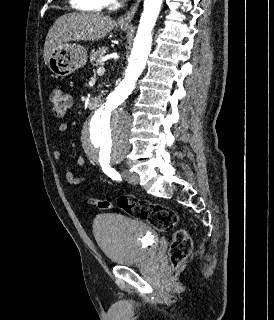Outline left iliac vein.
I'll use <instances>...</instances> for the list:
<instances>
[{
    "label": "left iliac vein",
    "instance_id": "4c4485c4",
    "mask_svg": "<svg viewBox=\"0 0 274 320\" xmlns=\"http://www.w3.org/2000/svg\"><path fill=\"white\" fill-rule=\"evenodd\" d=\"M123 178L130 184L137 185L139 183V177L137 174L124 169L122 172Z\"/></svg>",
    "mask_w": 274,
    "mask_h": 320
}]
</instances>
